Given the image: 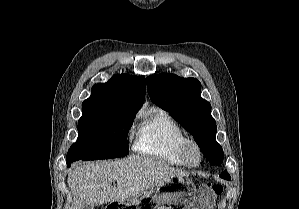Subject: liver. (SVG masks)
Listing matches in <instances>:
<instances>
[{"label":"liver","instance_id":"obj_1","mask_svg":"<svg viewBox=\"0 0 299 209\" xmlns=\"http://www.w3.org/2000/svg\"><path fill=\"white\" fill-rule=\"evenodd\" d=\"M176 176L188 177L189 174L159 160L141 156L77 166L69 172L67 180L73 194L71 209L133 200ZM114 180L116 187L112 186Z\"/></svg>","mask_w":299,"mask_h":209}]
</instances>
